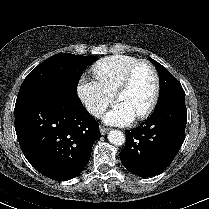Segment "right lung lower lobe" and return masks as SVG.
Returning <instances> with one entry per match:
<instances>
[{
	"label": "right lung lower lobe",
	"instance_id": "obj_1",
	"mask_svg": "<svg viewBox=\"0 0 209 209\" xmlns=\"http://www.w3.org/2000/svg\"><path fill=\"white\" fill-rule=\"evenodd\" d=\"M15 130L29 163L56 181L79 175L101 136L77 94L60 86L40 88L16 101Z\"/></svg>",
	"mask_w": 209,
	"mask_h": 209
}]
</instances>
